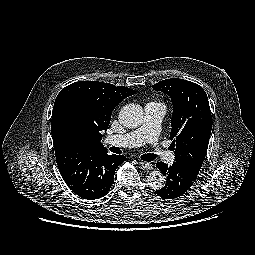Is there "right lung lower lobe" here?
Listing matches in <instances>:
<instances>
[{
	"mask_svg": "<svg viewBox=\"0 0 255 255\" xmlns=\"http://www.w3.org/2000/svg\"><path fill=\"white\" fill-rule=\"evenodd\" d=\"M59 172L68 187L88 200L103 197L110 190L116 168L126 161L123 155L107 151L66 149L55 153Z\"/></svg>",
	"mask_w": 255,
	"mask_h": 255,
	"instance_id": "98d812e1",
	"label": "right lung lower lobe"
}]
</instances>
